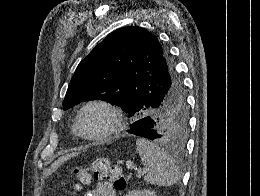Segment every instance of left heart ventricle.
<instances>
[{
  "instance_id": "b2bd125f",
  "label": "left heart ventricle",
  "mask_w": 260,
  "mask_h": 196,
  "mask_svg": "<svg viewBox=\"0 0 260 196\" xmlns=\"http://www.w3.org/2000/svg\"><path fill=\"white\" fill-rule=\"evenodd\" d=\"M113 123V114L107 108L94 105L83 112L79 127L87 135H97L109 129Z\"/></svg>"
}]
</instances>
